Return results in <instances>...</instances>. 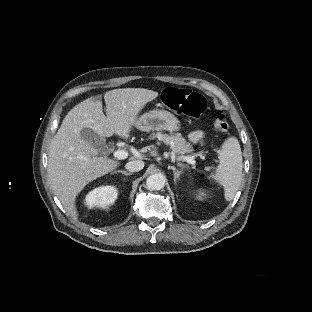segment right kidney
<instances>
[{
  "label": "right kidney",
  "instance_id": "ca27d5eb",
  "mask_svg": "<svg viewBox=\"0 0 312 312\" xmlns=\"http://www.w3.org/2000/svg\"><path fill=\"white\" fill-rule=\"evenodd\" d=\"M118 196L117 190L112 186L100 187L91 192L86 198V205L90 208H106L113 204Z\"/></svg>",
  "mask_w": 312,
  "mask_h": 312
}]
</instances>
